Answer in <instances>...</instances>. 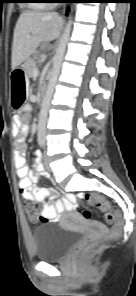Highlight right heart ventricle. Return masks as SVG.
Listing matches in <instances>:
<instances>
[{"mask_svg":"<svg viewBox=\"0 0 136 296\" xmlns=\"http://www.w3.org/2000/svg\"><path fill=\"white\" fill-rule=\"evenodd\" d=\"M30 5L34 8L42 9L49 7L50 4L46 0H34Z\"/></svg>","mask_w":136,"mask_h":296,"instance_id":"right-heart-ventricle-1","label":"right heart ventricle"}]
</instances>
